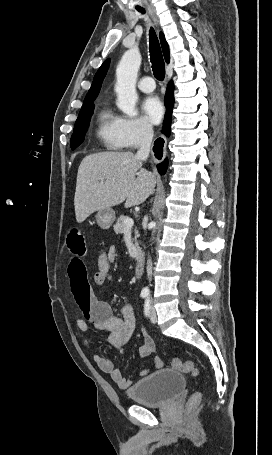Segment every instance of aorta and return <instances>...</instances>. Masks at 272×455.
Instances as JSON below:
<instances>
[{"label":"aorta","mask_w":272,"mask_h":455,"mask_svg":"<svg viewBox=\"0 0 272 455\" xmlns=\"http://www.w3.org/2000/svg\"><path fill=\"white\" fill-rule=\"evenodd\" d=\"M140 64L141 54L138 49L133 48L124 53L116 69L115 91L117 93V106L129 117L137 115L135 106L138 96L135 85ZM151 226L154 233L156 223L152 222Z\"/></svg>","instance_id":"aorta-1"}]
</instances>
